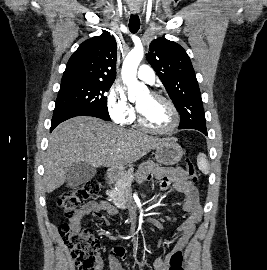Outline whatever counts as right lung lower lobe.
Instances as JSON below:
<instances>
[{
  "mask_svg": "<svg viewBox=\"0 0 267 270\" xmlns=\"http://www.w3.org/2000/svg\"><path fill=\"white\" fill-rule=\"evenodd\" d=\"M76 116H92L101 118L106 121H110L108 113L101 111H85V112H74L71 110H54L50 132L61 122L76 117Z\"/></svg>",
  "mask_w": 267,
  "mask_h": 270,
  "instance_id": "right-lung-lower-lobe-1",
  "label": "right lung lower lobe"
}]
</instances>
